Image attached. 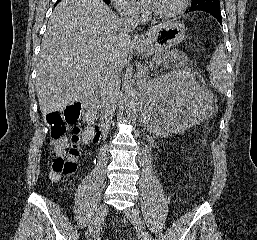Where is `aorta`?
Segmentation results:
<instances>
[{
	"instance_id": "aorta-1",
	"label": "aorta",
	"mask_w": 257,
	"mask_h": 240,
	"mask_svg": "<svg viewBox=\"0 0 257 240\" xmlns=\"http://www.w3.org/2000/svg\"><path fill=\"white\" fill-rule=\"evenodd\" d=\"M124 104L128 118H133L138 110V93L130 76L124 83Z\"/></svg>"
}]
</instances>
